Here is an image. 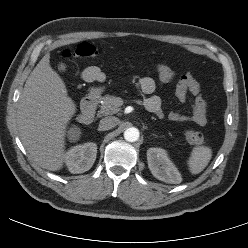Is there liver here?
I'll return each instance as SVG.
<instances>
[{
	"label": "liver",
	"mask_w": 248,
	"mask_h": 248,
	"mask_svg": "<svg viewBox=\"0 0 248 248\" xmlns=\"http://www.w3.org/2000/svg\"><path fill=\"white\" fill-rule=\"evenodd\" d=\"M76 106L50 66L47 53L26 80L17 109L21 141L42 168L57 171L65 162V129Z\"/></svg>",
	"instance_id": "obj_1"
}]
</instances>
